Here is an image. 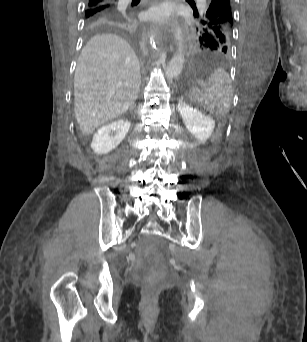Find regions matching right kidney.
Here are the masks:
<instances>
[{"mask_svg": "<svg viewBox=\"0 0 307 342\" xmlns=\"http://www.w3.org/2000/svg\"><path fill=\"white\" fill-rule=\"evenodd\" d=\"M129 128L130 122L128 120H116L107 126H102L93 136L91 144L93 152L95 154H108L114 150L124 140Z\"/></svg>", "mask_w": 307, "mask_h": 342, "instance_id": "obj_1", "label": "right kidney"}]
</instances>
